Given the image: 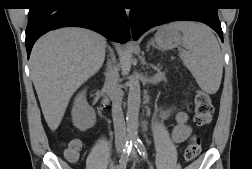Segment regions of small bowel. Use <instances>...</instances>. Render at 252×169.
Listing matches in <instances>:
<instances>
[{
	"label": "small bowel",
	"mask_w": 252,
	"mask_h": 169,
	"mask_svg": "<svg viewBox=\"0 0 252 169\" xmlns=\"http://www.w3.org/2000/svg\"><path fill=\"white\" fill-rule=\"evenodd\" d=\"M172 112L173 110L171 108L166 109L162 112L161 117L163 119H166L172 114ZM175 119H176V125L173 128L172 137L174 141L177 143L185 142L192 136V130L188 124V115L185 112H178L175 116ZM71 143L79 144L81 150L82 144L80 140L73 139L70 141V144ZM110 169H119V166L115 162H113L110 165Z\"/></svg>",
	"instance_id": "obj_1"
}]
</instances>
